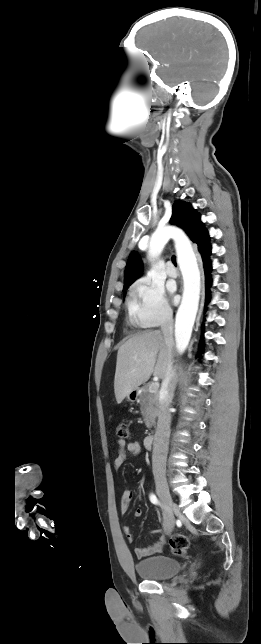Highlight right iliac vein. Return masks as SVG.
Wrapping results in <instances>:
<instances>
[{
    "instance_id": "obj_1",
    "label": "right iliac vein",
    "mask_w": 261,
    "mask_h": 644,
    "mask_svg": "<svg viewBox=\"0 0 261 644\" xmlns=\"http://www.w3.org/2000/svg\"><path fill=\"white\" fill-rule=\"evenodd\" d=\"M155 483H156V491H157V494L160 497L161 501L167 507H169L176 516H180L181 512H180L179 508L176 506V504L172 500V497L170 495L166 479L163 476H156ZM173 528H174V517L170 516L169 517V522H168V527H167V532H171L173 530Z\"/></svg>"
}]
</instances>
